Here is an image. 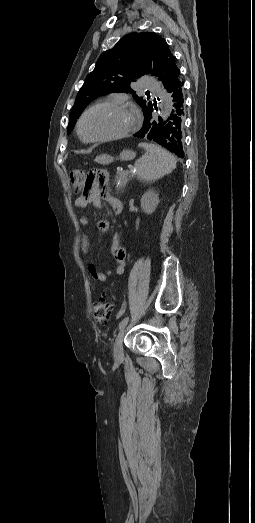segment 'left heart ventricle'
I'll return each instance as SVG.
<instances>
[{
  "label": "left heart ventricle",
  "mask_w": 255,
  "mask_h": 523,
  "mask_svg": "<svg viewBox=\"0 0 255 523\" xmlns=\"http://www.w3.org/2000/svg\"><path fill=\"white\" fill-rule=\"evenodd\" d=\"M134 120L135 112L131 107L99 106L85 116L82 133L87 139L115 136L130 129Z\"/></svg>",
  "instance_id": "left-heart-ventricle-1"
}]
</instances>
